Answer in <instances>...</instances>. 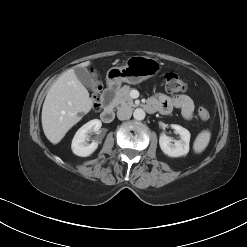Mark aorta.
Returning a JSON list of instances; mask_svg holds the SVG:
<instances>
[{"label": "aorta", "mask_w": 247, "mask_h": 247, "mask_svg": "<svg viewBox=\"0 0 247 247\" xmlns=\"http://www.w3.org/2000/svg\"><path fill=\"white\" fill-rule=\"evenodd\" d=\"M146 114L145 111L141 108H137L134 110L133 117L136 120H143L145 118Z\"/></svg>", "instance_id": "obj_1"}]
</instances>
